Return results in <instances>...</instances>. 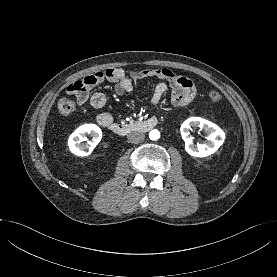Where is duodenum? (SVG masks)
<instances>
[{
	"mask_svg": "<svg viewBox=\"0 0 277 277\" xmlns=\"http://www.w3.org/2000/svg\"><path fill=\"white\" fill-rule=\"evenodd\" d=\"M156 125V118H149L140 122L129 124L116 123L113 120H105L101 123L102 127L107 128L108 130L120 136H126L136 131L147 132L154 128Z\"/></svg>",
	"mask_w": 277,
	"mask_h": 277,
	"instance_id": "1",
	"label": "duodenum"
}]
</instances>
